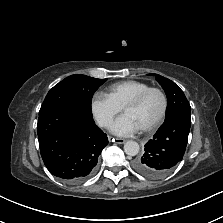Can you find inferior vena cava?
<instances>
[{"label": "inferior vena cava", "mask_w": 223, "mask_h": 223, "mask_svg": "<svg viewBox=\"0 0 223 223\" xmlns=\"http://www.w3.org/2000/svg\"><path fill=\"white\" fill-rule=\"evenodd\" d=\"M100 125H101V126H106V125H108V122H107V121H102V122L100 123Z\"/></svg>", "instance_id": "602c4592"}]
</instances>
